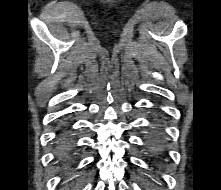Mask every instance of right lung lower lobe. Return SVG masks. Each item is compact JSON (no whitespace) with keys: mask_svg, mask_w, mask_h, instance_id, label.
<instances>
[{"mask_svg":"<svg viewBox=\"0 0 221 190\" xmlns=\"http://www.w3.org/2000/svg\"><path fill=\"white\" fill-rule=\"evenodd\" d=\"M59 147H60V156H64L67 151H68V137H67V132L62 131L60 136H59Z\"/></svg>","mask_w":221,"mask_h":190,"instance_id":"obj_1","label":"right lung lower lobe"}]
</instances>
